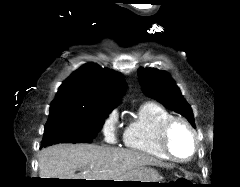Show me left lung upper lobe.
I'll use <instances>...</instances> for the list:
<instances>
[{"instance_id":"1","label":"left lung upper lobe","mask_w":240,"mask_h":187,"mask_svg":"<svg viewBox=\"0 0 240 187\" xmlns=\"http://www.w3.org/2000/svg\"><path fill=\"white\" fill-rule=\"evenodd\" d=\"M138 78L143 92L165 107L185 116L194 126V117L190 105L183 98L174 80L164 71L154 68H140Z\"/></svg>"}]
</instances>
